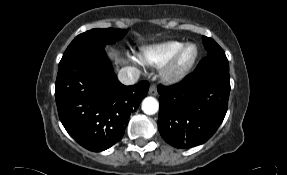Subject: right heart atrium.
I'll return each mask as SVG.
<instances>
[{
    "instance_id": "d8ad5b80",
    "label": "right heart atrium",
    "mask_w": 287,
    "mask_h": 175,
    "mask_svg": "<svg viewBox=\"0 0 287 175\" xmlns=\"http://www.w3.org/2000/svg\"><path fill=\"white\" fill-rule=\"evenodd\" d=\"M133 60H134L135 62H137V63H141L140 60H139V58H138L137 56H134V57H133Z\"/></svg>"
}]
</instances>
